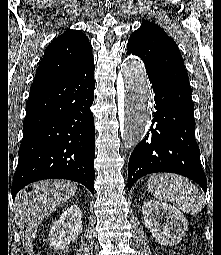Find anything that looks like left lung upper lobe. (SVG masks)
I'll return each instance as SVG.
<instances>
[{"instance_id": "left-lung-upper-lobe-1", "label": "left lung upper lobe", "mask_w": 221, "mask_h": 255, "mask_svg": "<svg viewBox=\"0 0 221 255\" xmlns=\"http://www.w3.org/2000/svg\"><path fill=\"white\" fill-rule=\"evenodd\" d=\"M128 54L139 56L146 72L156 74L191 92L189 78L180 51L165 31L155 23L144 21L127 44Z\"/></svg>"}]
</instances>
